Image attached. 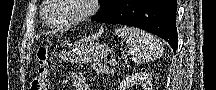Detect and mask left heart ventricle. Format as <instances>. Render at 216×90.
<instances>
[{
    "instance_id": "left-heart-ventricle-1",
    "label": "left heart ventricle",
    "mask_w": 216,
    "mask_h": 90,
    "mask_svg": "<svg viewBox=\"0 0 216 90\" xmlns=\"http://www.w3.org/2000/svg\"><path fill=\"white\" fill-rule=\"evenodd\" d=\"M64 4L62 10H57V13H54V16H51L49 21L54 24H65L73 21L76 16L81 11L80 5H75L71 3H78L79 0H63Z\"/></svg>"
}]
</instances>
